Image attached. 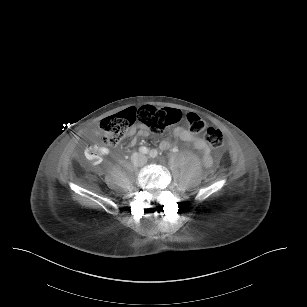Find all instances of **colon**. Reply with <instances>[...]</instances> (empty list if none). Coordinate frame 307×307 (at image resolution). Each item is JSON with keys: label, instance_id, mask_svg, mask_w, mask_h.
I'll return each mask as SVG.
<instances>
[{"label": "colon", "instance_id": "5ec220e1", "mask_svg": "<svg viewBox=\"0 0 307 307\" xmlns=\"http://www.w3.org/2000/svg\"><path fill=\"white\" fill-rule=\"evenodd\" d=\"M124 116H134L153 133H161L167 128L180 122L182 112L174 108L157 109L144 106L138 109L125 110L120 114H113L103 118L99 123V130L103 134V141L107 146L115 147L124 136L127 128L134 123H124ZM189 129L193 133H200L205 128V122L197 114L189 112L185 115ZM204 136L210 147L220 151L223 147V134L219 129L208 127Z\"/></svg>", "mask_w": 307, "mask_h": 307}]
</instances>
